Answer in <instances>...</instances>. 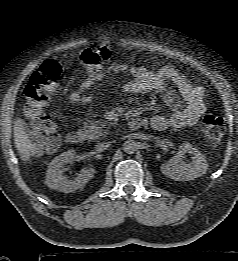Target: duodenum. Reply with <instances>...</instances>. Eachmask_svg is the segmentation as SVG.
<instances>
[{"instance_id":"410a0bca","label":"duodenum","mask_w":238,"mask_h":261,"mask_svg":"<svg viewBox=\"0 0 238 261\" xmlns=\"http://www.w3.org/2000/svg\"><path fill=\"white\" fill-rule=\"evenodd\" d=\"M146 125V121L142 118H133L128 122L130 130H138ZM84 134L79 131H72L67 134L66 141L71 145H79L84 142Z\"/></svg>"}]
</instances>
